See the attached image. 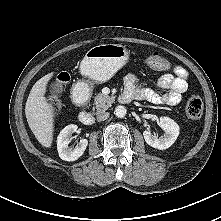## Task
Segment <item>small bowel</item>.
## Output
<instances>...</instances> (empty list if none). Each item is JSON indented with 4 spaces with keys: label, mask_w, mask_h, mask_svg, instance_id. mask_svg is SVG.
Returning a JSON list of instances; mask_svg holds the SVG:
<instances>
[{
    "label": "small bowel",
    "mask_w": 221,
    "mask_h": 221,
    "mask_svg": "<svg viewBox=\"0 0 221 221\" xmlns=\"http://www.w3.org/2000/svg\"><path fill=\"white\" fill-rule=\"evenodd\" d=\"M187 79V71L181 66H176L174 74L161 76L157 83V88L154 89L142 87L136 75L128 74L124 78V94L128 96L129 101L135 99L153 104L176 105L188 88ZM159 90L166 92L161 93Z\"/></svg>",
    "instance_id": "c3829d8e"
}]
</instances>
